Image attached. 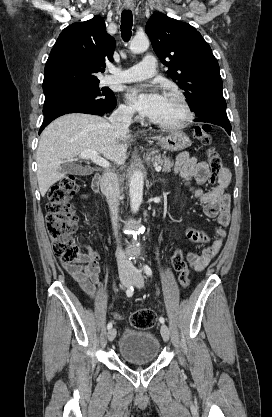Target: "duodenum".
I'll return each instance as SVG.
<instances>
[{
	"mask_svg": "<svg viewBox=\"0 0 272 417\" xmlns=\"http://www.w3.org/2000/svg\"><path fill=\"white\" fill-rule=\"evenodd\" d=\"M101 181H102L101 175L96 174L94 176V178H93V181H92V187H93V190L95 192H99L100 191Z\"/></svg>",
	"mask_w": 272,
	"mask_h": 417,
	"instance_id": "1",
	"label": "duodenum"
}]
</instances>
